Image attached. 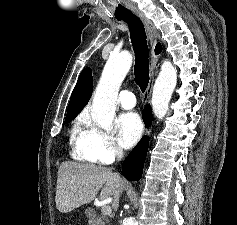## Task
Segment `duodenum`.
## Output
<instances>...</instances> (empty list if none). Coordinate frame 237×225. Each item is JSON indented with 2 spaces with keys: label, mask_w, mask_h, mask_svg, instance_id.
<instances>
[{
  "label": "duodenum",
  "mask_w": 237,
  "mask_h": 225,
  "mask_svg": "<svg viewBox=\"0 0 237 225\" xmlns=\"http://www.w3.org/2000/svg\"><path fill=\"white\" fill-rule=\"evenodd\" d=\"M92 225H104V223L101 220L94 218Z\"/></svg>",
  "instance_id": "obj_1"
}]
</instances>
